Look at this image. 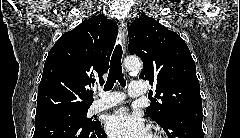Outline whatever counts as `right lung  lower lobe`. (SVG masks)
Segmentation results:
<instances>
[{
  "label": "right lung lower lobe",
  "mask_w": 240,
  "mask_h": 138,
  "mask_svg": "<svg viewBox=\"0 0 240 138\" xmlns=\"http://www.w3.org/2000/svg\"><path fill=\"white\" fill-rule=\"evenodd\" d=\"M33 138H107L101 122L84 125L72 116H58L36 122Z\"/></svg>",
  "instance_id": "right-lung-lower-lobe-1"
}]
</instances>
